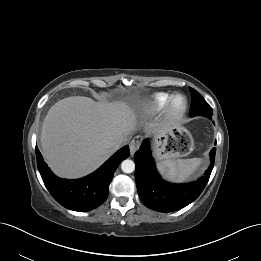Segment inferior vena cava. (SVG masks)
<instances>
[{
    "mask_svg": "<svg viewBox=\"0 0 261 261\" xmlns=\"http://www.w3.org/2000/svg\"><path fill=\"white\" fill-rule=\"evenodd\" d=\"M128 141L126 136H123L120 140H119V144H123L126 143Z\"/></svg>",
    "mask_w": 261,
    "mask_h": 261,
    "instance_id": "602c4592",
    "label": "inferior vena cava"
}]
</instances>
